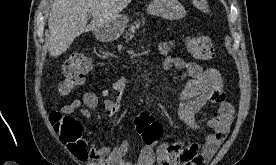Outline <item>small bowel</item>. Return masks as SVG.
Masks as SVG:
<instances>
[{"instance_id": "1", "label": "small bowel", "mask_w": 276, "mask_h": 165, "mask_svg": "<svg viewBox=\"0 0 276 165\" xmlns=\"http://www.w3.org/2000/svg\"><path fill=\"white\" fill-rule=\"evenodd\" d=\"M162 67L166 71L178 69L182 72L181 79H188L180 93L178 115L190 128L201 132L196 115L207 104L215 106L217 114L208 122L212 132L206 136L205 142L188 145L162 143L156 150L152 145H145L141 148L137 160L131 162L126 159L129 152L127 140H122L114 147L107 145L99 147L94 144L88 146L87 139L82 135L81 145L68 146L77 159L93 165H153L155 162L158 165H207L226 139L235 118V111L226 100L221 74L215 68H204L195 62H189L177 56L166 57ZM127 85V79L121 77L109 88L101 90L100 95L104 99V107L110 115L119 110V100ZM113 93L116 95L115 99L111 98ZM98 104V95L93 91H87L81 100H73L58 112L64 116H71L75 111H79L84 117L90 118L91 110L97 108Z\"/></svg>"}]
</instances>
